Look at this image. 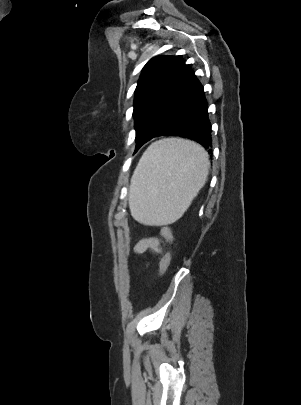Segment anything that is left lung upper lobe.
I'll use <instances>...</instances> for the list:
<instances>
[{
  "label": "left lung upper lobe",
  "mask_w": 301,
  "mask_h": 405,
  "mask_svg": "<svg viewBox=\"0 0 301 405\" xmlns=\"http://www.w3.org/2000/svg\"><path fill=\"white\" fill-rule=\"evenodd\" d=\"M192 70L174 56L152 58L143 68L135 90L136 142L154 133L182 96Z\"/></svg>",
  "instance_id": "left-lung-upper-lobe-1"
}]
</instances>
